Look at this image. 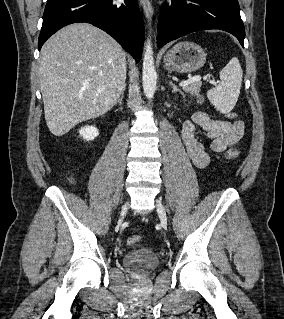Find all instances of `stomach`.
Listing matches in <instances>:
<instances>
[{"mask_svg": "<svg viewBox=\"0 0 284 319\" xmlns=\"http://www.w3.org/2000/svg\"><path fill=\"white\" fill-rule=\"evenodd\" d=\"M207 54L203 48L193 42H180L174 45L164 56V66L169 71L190 73L200 69L206 62Z\"/></svg>", "mask_w": 284, "mask_h": 319, "instance_id": "1", "label": "stomach"}]
</instances>
